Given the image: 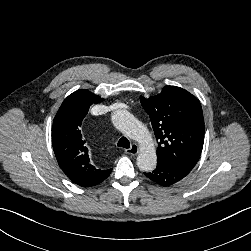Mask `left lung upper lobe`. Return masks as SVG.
<instances>
[{"label": "left lung upper lobe", "mask_w": 251, "mask_h": 251, "mask_svg": "<svg viewBox=\"0 0 251 251\" xmlns=\"http://www.w3.org/2000/svg\"><path fill=\"white\" fill-rule=\"evenodd\" d=\"M158 140L157 162L191 171L204 143V118L199 100L188 91L165 86L158 95L140 97Z\"/></svg>", "instance_id": "5c2ea615"}]
</instances>
